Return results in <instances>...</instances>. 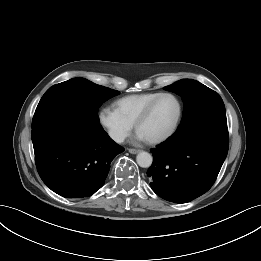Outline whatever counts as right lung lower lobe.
I'll list each match as a JSON object with an SVG mask.
<instances>
[{"instance_id":"98d812e1","label":"right lung lower lobe","mask_w":261,"mask_h":261,"mask_svg":"<svg viewBox=\"0 0 261 261\" xmlns=\"http://www.w3.org/2000/svg\"><path fill=\"white\" fill-rule=\"evenodd\" d=\"M31 137L41 179L63 197L94 194L124 151L99 123L77 116L48 117L32 125Z\"/></svg>"}]
</instances>
